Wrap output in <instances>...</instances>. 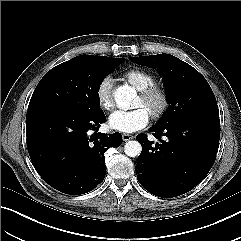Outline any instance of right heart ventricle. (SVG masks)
Segmentation results:
<instances>
[{
	"label": "right heart ventricle",
	"instance_id": "obj_1",
	"mask_svg": "<svg viewBox=\"0 0 241 241\" xmlns=\"http://www.w3.org/2000/svg\"><path fill=\"white\" fill-rule=\"evenodd\" d=\"M123 78L139 91L156 83L155 75L141 68H131L125 71Z\"/></svg>",
	"mask_w": 241,
	"mask_h": 241
}]
</instances>
